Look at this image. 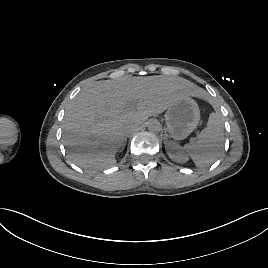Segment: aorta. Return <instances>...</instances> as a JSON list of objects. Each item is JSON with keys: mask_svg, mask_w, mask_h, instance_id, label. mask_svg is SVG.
<instances>
[{"mask_svg": "<svg viewBox=\"0 0 268 268\" xmlns=\"http://www.w3.org/2000/svg\"><path fill=\"white\" fill-rule=\"evenodd\" d=\"M148 131L151 133H159L162 129V125L156 119L149 120L147 124Z\"/></svg>", "mask_w": 268, "mask_h": 268, "instance_id": "1", "label": "aorta"}]
</instances>
